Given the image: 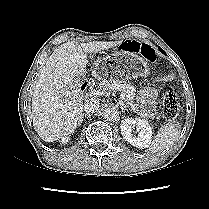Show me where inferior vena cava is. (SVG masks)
<instances>
[{"instance_id": "inferior-vena-cava-1", "label": "inferior vena cava", "mask_w": 209, "mask_h": 209, "mask_svg": "<svg viewBox=\"0 0 209 209\" xmlns=\"http://www.w3.org/2000/svg\"><path fill=\"white\" fill-rule=\"evenodd\" d=\"M99 105H100V103L96 99L86 100L84 103V111L87 114H93L94 112H96L98 110Z\"/></svg>"}]
</instances>
